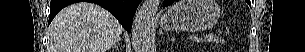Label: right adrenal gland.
I'll list each match as a JSON object with an SVG mask.
<instances>
[{
	"label": "right adrenal gland",
	"instance_id": "1",
	"mask_svg": "<svg viewBox=\"0 0 305 52\" xmlns=\"http://www.w3.org/2000/svg\"><path fill=\"white\" fill-rule=\"evenodd\" d=\"M118 46H120V40L117 41L111 48H116L118 50Z\"/></svg>",
	"mask_w": 305,
	"mask_h": 52
}]
</instances>
